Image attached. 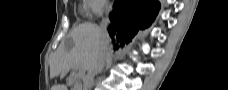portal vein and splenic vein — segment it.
<instances>
[{
  "label": "portal vein and splenic vein",
  "instance_id": "1",
  "mask_svg": "<svg viewBox=\"0 0 228 90\" xmlns=\"http://www.w3.org/2000/svg\"><path fill=\"white\" fill-rule=\"evenodd\" d=\"M74 69L78 70V77L84 76V72L79 67H74Z\"/></svg>",
  "mask_w": 228,
  "mask_h": 90
}]
</instances>
